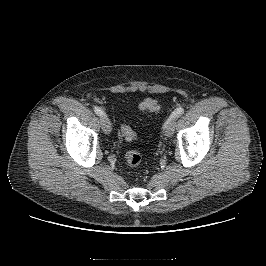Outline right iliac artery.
<instances>
[{"instance_id": "1", "label": "right iliac artery", "mask_w": 266, "mask_h": 266, "mask_svg": "<svg viewBox=\"0 0 266 266\" xmlns=\"http://www.w3.org/2000/svg\"><path fill=\"white\" fill-rule=\"evenodd\" d=\"M94 112L98 115V116H104V112L103 110H101L99 107H94Z\"/></svg>"}]
</instances>
